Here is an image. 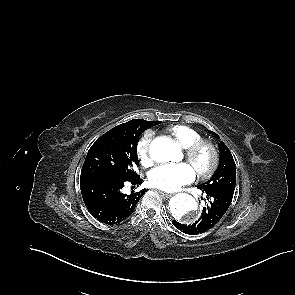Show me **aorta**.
<instances>
[{
    "label": "aorta",
    "mask_w": 295,
    "mask_h": 295,
    "mask_svg": "<svg viewBox=\"0 0 295 295\" xmlns=\"http://www.w3.org/2000/svg\"><path fill=\"white\" fill-rule=\"evenodd\" d=\"M150 156L157 162H175L181 158L180 145L167 137H159L150 145ZM196 200L189 194L178 193L170 199L169 208L178 221L192 222L196 219Z\"/></svg>",
    "instance_id": "aorta-1"
}]
</instances>
